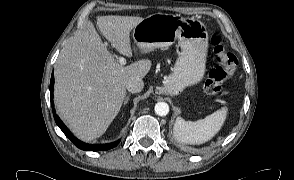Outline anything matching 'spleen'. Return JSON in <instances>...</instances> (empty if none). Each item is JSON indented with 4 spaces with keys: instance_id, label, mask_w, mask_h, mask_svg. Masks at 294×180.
<instances>
[{
    "instance_id": "3e777b00",
    "label": "spleen",
    "mask_w": 294,
    "mask_h": 180,
    "mask_svg": "<svg viewBox=\"0 0 294 180\" xmlns=\"http://www.w3.org/2000/svg\"><path fill=\"white\" fill-rule=\"evenodd\" d=\"M227 115L223 107L197 121H185L178 117L173 127V135L177 141L185 144H203L213 138L221 129Z\"/></svg>"
}]
</instances>
